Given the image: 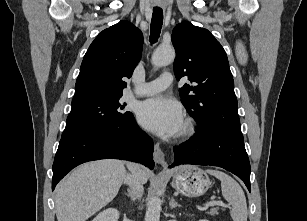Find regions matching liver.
<instances>
[{"instance_id": "6515ba94", "label": "liver", "mask_w": 307, "mask_h": 221, "mask_svg": "<svg viewBox=\"0 0 307 221\" xmlns=\"http://www.w3.org/2000/svg\"><path fill=\"white\" fill-rule=\"evenodd\" d=\"M131 171L142 184L147 182L146 168L133 164ZM125 175V162L116 159L79 166L55 189L57 220L86 221L115 198Z\"/></svg>"}]
</instances>
